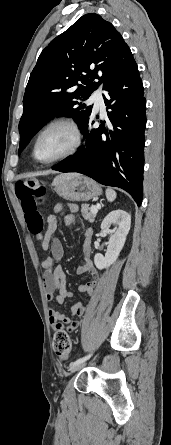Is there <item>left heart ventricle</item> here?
<instances>
[{
	"label": "left heart ventricle",
	"instance_id": "obj_1",
	"mask_svg": "<svg viewBox=\"0 0 171 445\" xmlns=\"http://www.w3.org/2000/svg\"><path fill=\"white\" fill-rule=\"evenodd\" d=\"M72 142L71 132L64 127H57L46 132L37 145V156L41 160H50L63 153Z\"/></svg>",
	"mask_w": 171,
	"mask_h": 445
}]
</instances>
